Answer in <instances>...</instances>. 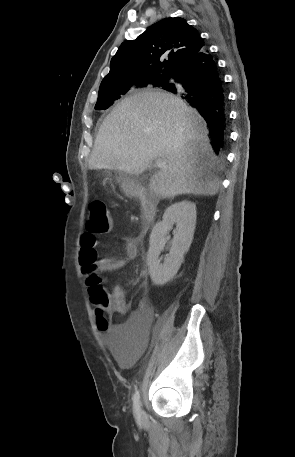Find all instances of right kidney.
<instances>
[{
    "label": "right kidney",
    "mask_w": 295,
    "mask_h": 457,
    "mask_svg": "<svg viewBox=\"0 0 295 457\" xmlns=\"http://www.w3.org/2000/svg\"><path fill=\"white\" fill-rule=\"evenodd\" d=\"M176 224L173 231V243L164 264L160 263L159 256L165 246V237ZM196 224V205L191 201H181L169 206L162 221L156 223L150 235V247L147 254V264L152 282L155 285H164L178 272L184 261V254L188 252L194 235Z\"/></svg>",
    "instance_id": "1"
}]
</instances>
